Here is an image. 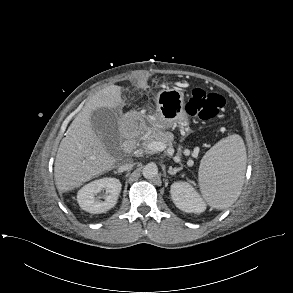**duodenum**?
<instances>
[{
	"mask_svg": "<svg viewBox=\"0 0 293 293\" xmlns=\"http://www.w3.org/2000/svg\"><path fill=\"white\" fill-rule=\"evenodd\" d=\"M136 117H138V114L132 112V113H130V114L124 119V124H123L124 126H123V127H124V133H125V134H128V133H129V123H130V120H131L132 118H136ZM132 147H133V140H132L131 137H128L127 140H126V142H125V148H126L127 150H131Z\"/></svg>",
	"mask_w": 293,
	"mask_h": 293,
	"instance_id": "obj_1",
	"label": "duodenum"
}]
</instances>
